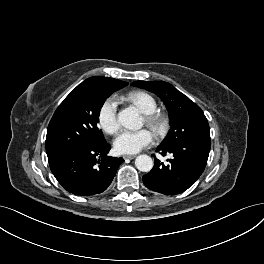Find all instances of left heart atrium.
I'll list each match as a JSON object with an SVG mask.
<instances>
[{
  "label": "left heart atrium",
  "instance_id": "39dd6f15",
  "mask_svg": "<svg viewBox=\"0 0 264 264\" xmlns=\"http://www.w3.org/2000/svg\"><path fill=\"white\" fill-rule=\"evenodd\" d=\"M153 142L154 136L148 129L124 130L115 138L114 148L120 154H135Z\"/></svg>",
  "mask_w": 264,
  "mask_h": 264
}]
</instances>
